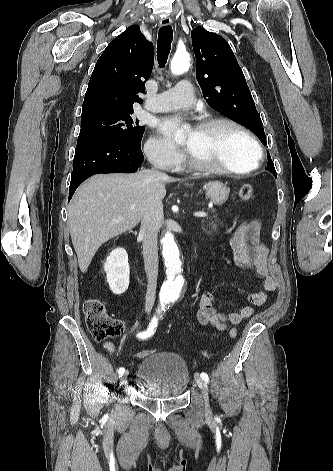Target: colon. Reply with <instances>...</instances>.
Wrapping results in <instances>:
<instances>
[{
	"mask_svg": "<svg viewBox=\"0 0 333 471\" xmlns=\"http://www.w3.org/2000/svg\"><path fill=\"white\" fill-rule=\"evenodd\" d=\"M254 195V187L251 184H244L239 190V196L243 201L250 200ZM86 324L89 332L96 341H104L108 338L116 337L124 331V323L111 317L99 299H88L83 306ZM237 335L235 328L229 331V337L234 339ZM155 351L143 350L137 353V358H145Z\"/></svg>",
	"mask_w": 333,
	"mask_h": 471,
	"instance_id": "colon-1",
	"label": "colon"
}]
</instances>
